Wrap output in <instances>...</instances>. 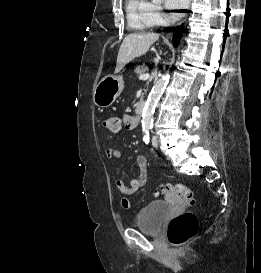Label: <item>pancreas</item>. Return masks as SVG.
I'll list each match as a JSON object with an SVG mask.
<instances>
[{"label":"pancreas","mask_w":261,"mask_h":273,"mask_svg":"<svg viewBox=\"0 0 261 273\" xmlns=\"http://www.w3.org/2000/svg\"><path fill=\"white\" fill-rule=\"evenodd\" d=\"M134 71L137 75L140 76L141 74H144L146 71H148V67L145 65L136 66Z\"/></svg>","instance_id":"obj_1"}]
</instances>
